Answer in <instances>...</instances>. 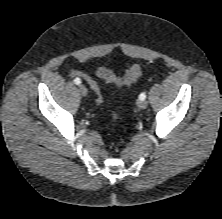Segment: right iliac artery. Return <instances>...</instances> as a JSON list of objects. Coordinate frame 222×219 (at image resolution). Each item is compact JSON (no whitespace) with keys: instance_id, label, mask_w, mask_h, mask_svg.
Returning <instances> with one entry per match:
<instances>
[{"instance_id":"1","label":"right iliac artery","mask_w":222,"mask_h":219,"mask_svg":"<svg viewBox=\"0 0 222 219\" xmlns=\"http://www.w3.org/2000/svg\"><path fill=\"white\" fill-rule=\"evenodd\" d=\"M74 83H75L76 85H79V84L81 83L80 78H75V79H74Z\"/></svg>"}]
</instances>
